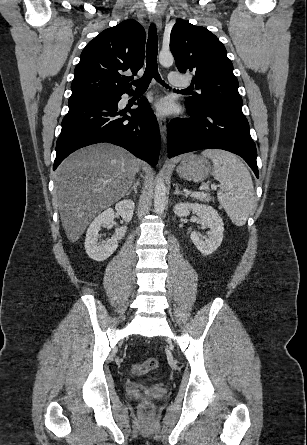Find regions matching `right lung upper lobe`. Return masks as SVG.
<instances>
[{
  "instance_id": "1",
  "label": "right lung upper lobe",
  "mask_w": 307,
  "mask_h": 445,
  "mask_svg": "<svg viewBox=\"0 0 307 445\" xmlns=\"http://www.w3.org/2000/svg\"><path fill=\"white\" fill-rule=\"evenodd\" d=\"M146 34L135 20L128 19L106 29L91 40L74 70L69 102L122 93L131 88L133 77L122 71H137L144 63Z\"/></svg>"
}]
</instances>
